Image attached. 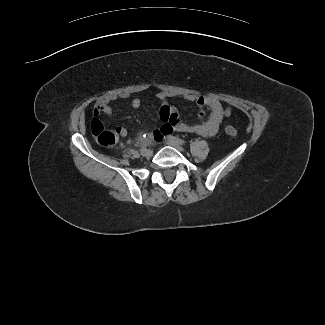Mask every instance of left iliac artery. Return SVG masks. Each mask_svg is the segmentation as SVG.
Returning <instances> with one entry per match:
<instances>
[{"instance_id":"obj_1","label":"left iliac artery","mask_w":325,"mask_h":325,"mask_svg":"<svg viewBox=\"0 0 325 325\" xmlns=\"http://www.w3.org/2000/svg\"><path fill=\"white\" fill-rule=\"evenodd\" d=\"M169 138H170L172 141H174V142H176V143H178V144H180V145H185V144H186V141H185V140L180 139V138H178V137H175V136H169Z\"/></svg>"}]
</instances>
